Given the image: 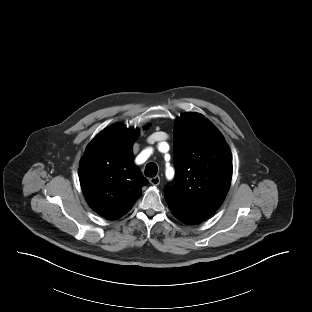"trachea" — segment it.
<instances>
[{"mask_svg":"<svg viewBox=\"0 0 312 312\" xmlns=\"http://www.w3.org/2000/svg\"><path fill=\"white\" fill-rule=\"evenodd\" d=\"M158 171V167L155 163L150 162L145 167V176L155 177Z\"/></svg>","mask_w":312,"mask_h":312,"instance_id":"obj_1","label":"trachea"}]
</instances>
